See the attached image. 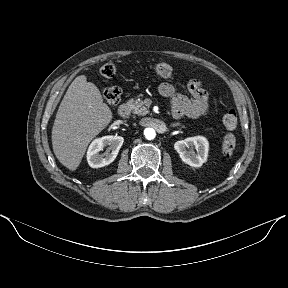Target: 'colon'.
Instances as JSON below:
<instances>
[{
    "instance_id": "colon-1",
    "label": "colon",
    "mask_w": 288,
    "mask_h": 288,
    "mask_svg": "<svg viewBox=\"0 0 288 288\" xmlns=\"http://www.w3.org/2000/svg\"><path fill=\"white\" fill-rule=\"evenodd\" d=\"M155 75L159 78H169L172 75L173 69L168 63H157L153 66ZM117 73V66L114 63H105L99 69V75L103 78H112ZM103 97L110 105H116L121 98L122 91L117 86L105 87L102 90ZM223 125L228 130H234L238 123L237 114L234 110L227 111L222 118ZM236 146L235 136L228 133L224 136L222 141V152L229 157L233 154Z\"/></svg>"
}]
</instances>
